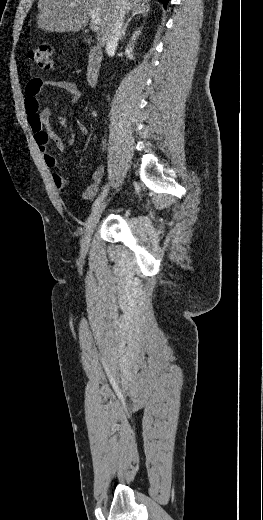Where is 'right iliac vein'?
Returning <instances> with one entry per match:
<instances>
[{
    "label": "right iliac vein",
    "mask_w": 263,
    "mask_h": 520,
    "mask_svg": "<svg viewBox=\"0 0 263 520\" xmlns=\"http://www.w3.org/2000/svg\"><path fill=\"white\" fill-rule=\"evenodd\" d=\"M105 206H106V202H102L100 205H98L93 210V212L90 214V216L87 220L85 234L81 239V253L82 254H86L89 249L92 233L100 219V216H101L102 211L105 208Z\"/></svg>",
    "instance_id": "obj_1"
}]
</instances>
